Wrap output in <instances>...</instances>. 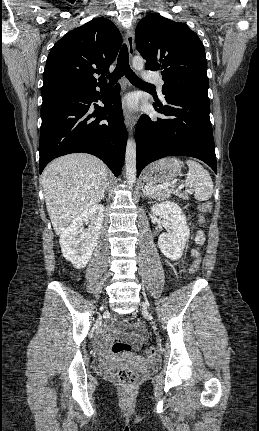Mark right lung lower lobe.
I'll return each instance as SVG.
<instances>
[{"label": "right lung lower lobe", "instance_id": "obj_1", "mask_svg": "<svg viewBox=\"0 0 259 431\" xmlns=\"http://www.w3.org/2000/svg\"><path fill=\"white\" fill-rule=\"evenodd\" d=\"M101 93L106 84L97 85ZM63 90L43 97L39 143V171L53 159L84 152L100 158L119 176L125 156L127 130L124 124L120 86L104 92V107L91 103L101 98L96 87Z\"/></svg>", "mask_w": 259, "mask_h": 431}]
</instances>
